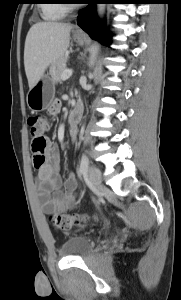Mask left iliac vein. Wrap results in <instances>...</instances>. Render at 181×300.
<instances>
[{
    "label": "left iliac vein",
    "instance_id": "obj_1",
    "mask_svg": "<svg viewBox=\"0 0 181 300\" xmlns=\"http://www.w3.org/2000/svg\"><path fill=\"white\" fill-rule=\"evenodd\" d=\"M88 177L94 188L100 191L102 187V173L100 169L95 166H91L88 170Z\"/></svg>",
    "mask_w": 181,
    "mask_h": 300
}]
</instances>
